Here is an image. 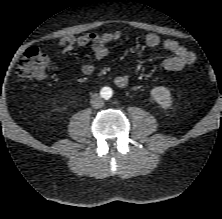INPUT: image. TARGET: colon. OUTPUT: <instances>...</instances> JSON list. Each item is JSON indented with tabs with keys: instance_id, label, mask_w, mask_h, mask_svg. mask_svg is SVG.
<instances>
[{
	"instance_id": "5ec220e1",
	"label": "colon",
	"mask_w": 222,
	"mask_h": 219,
	"mask_svg": "<svg viewBox=\"0 0 222 219\" xmlns=\"http://www.w3.org/2000/svg\"><path fill=\"white\" fill-rule=\"evenodd\" d=\"M49 57L36 47L29 48L20 59L16 76L20 82L43 79L49 68ZM206 73L211 81L216 79V73L209 65L206 67Z\"/></svg>"
}]
</instances>
